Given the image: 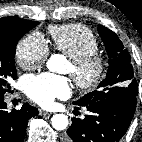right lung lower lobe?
<instances>
[{
    "instance_id": "98d812e1",
    "label": "right lung lower lobe",
    "mask_w": 142,
    "mask_h": 142,
    "mask_svg": "<svg viewBox=\"0 0 142 142\" xmlns=\"http://www.w3.org/2000/svg\"><path fill=\"white\" fill-rule=\"evenodd\" d=\"M36 115L38 109L28 103L8 112L4 96H0V142H23L28 120Z\"/></svg>"
}]
</instances>
